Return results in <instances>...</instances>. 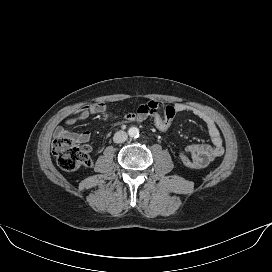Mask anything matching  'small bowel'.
<instances>
[{"label":"small bowel","mask_w":272,"mask_h":272,"mask_svg":"<svg viewBox=\"0 0 272 272\" xmlns=\"http://www.w3.org/2000/svg\"><path fill=\"white\" fill-rule=\"evenodd\" d=\"M165 106V104L157 101H149L148 103L140 106L136 112L126 113L124 115V119L126 121H142L139 118V111L143 109H156L160 110ZM176 112L183 113L188 112L191 113L198 118H200L204 124L206 125L210 143L208 144H192L187 146L186 153L194 160L198 161L201 164V167H205L215 159L219 158L224 154V146L223 139L220 133V130L215 122V120L204 111L197 109L193 106H190L186 103H176L174 105ZM107 110V106L104 103H92L86 105L77 111L70 114L65 120V126L74 125L76 122L84 120L91 115H96L103 113ZM55 134L57 136L65 135L73 139L77 143L84 144V148L86 151H90V146L88 145L91 139V133L89 131L75 133L67 131L63 126H59L56 129Z\"/></svg>","instance_id":"1"}]
</instances>
